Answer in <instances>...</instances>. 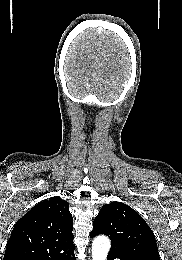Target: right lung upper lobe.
Here are the masks:
<instances>
[{"label": "right lung upper lobe", "instance_id": "cb5924a9", "mask_svg": "<svg viewBox=\"0 0 182 260\" xmlns=\"http://www.w3.org/2000/svg\"><path fill=\"white\" fill-rule=\"evenodd\" d=\"M69 204L53 197L35 205L15 224L3 260H48L74 250Z\"/></svg>", "mask_w": 182, "mask_h": 260}]
</instances>
